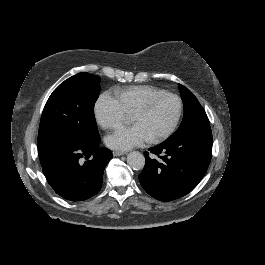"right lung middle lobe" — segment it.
I'll return each mask as SVG.
<instances>
[{"mask_svg":"<svg viewBox=\"0 0 265 265\" xmlns=\"http://www.w3.org/2000/svg\"><path fill=\"white\" fill-rule=\"evenodd\" d=\"M100 77L76 74L50 95L40 120L38 150L51 142L84 144L100 140L94 105L100 93Z\"/></svg>","mask_w":265,"mask_h":265,"instance_id":"dd1d6c3e","label":"right lung middle lobe"}]
</instances>
